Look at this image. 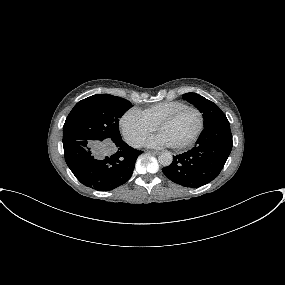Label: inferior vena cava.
<instances>
[{
  "label": "inferior vena cava",
  "mask_w": 285,
  "mask_h": 285,
  "mask_svg": "<svg viewBox=\"0 0 285 285\" xmlns=\"http://www.w3.org/2000/svg\"><path fill=\"white\" fill-rule=\"evenodd\" d=\"M134 146L140 147L141 146V141L140 140L134 141Z\"/></svg>",
  "instance_id": "1"
}]
</instances>
